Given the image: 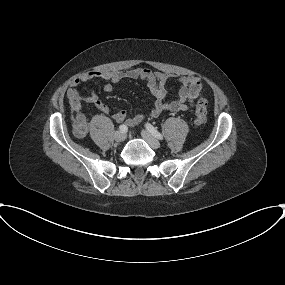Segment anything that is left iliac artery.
Wrapping results in <instances>:
<instances>
[{
  "label": "left iliac artery",
  "instance_id": "1",
  "mask_svg": "<svg viewBox=\"0 0 285 285\" xmlns=\"http://www.w3.org/2000/svg\"><path fill=\"white\" fill-rule=\"evenodd\" d=\"M146 128L154 137H156L157 139L163 140V136L161 135V133L156 128H154L151 124L147 123Z\"/></svg>",
  "mask_w": 285,
  "mask_h": 285
}]
</instances>
